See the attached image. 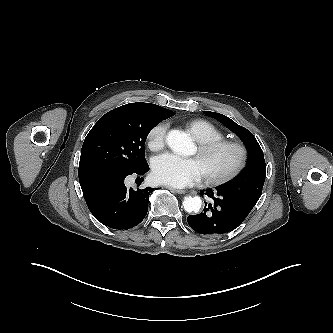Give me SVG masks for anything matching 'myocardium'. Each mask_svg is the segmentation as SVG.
I'll use <instances>...</instances> for the list:
<instances>
[{
    "mask_svg": "<svg viewBox=\"0 0 333 333\" xmlns=\"http://www.w3.org/2000/svg\"><path fill=\"white\" fill-rule=\"evenodd\" d=\"M223 149L233 150L236 153V159L233 165L222 174H203L205 181L210 185L218 186L233 180L246 166L248 160L247 148L242 142L237 140L221 139L217 141L200 143L198 146L197 155L200 158H205Z\"/></svg>",
    "mask_w": 333,
    "mask_h": 333,
    "instance_id": "myocardium-1",
    "label": "myocardium"
}]
</instances>
